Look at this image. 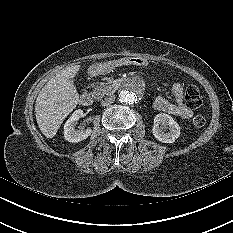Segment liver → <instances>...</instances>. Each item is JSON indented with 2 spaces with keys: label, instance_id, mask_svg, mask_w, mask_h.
I'll return each mask as SVG.
<instances>
[{
  "label": "liver",
  "instance_id": "6515ba94",
  "mask_svg": "<svg viewBox=\"0 0 233 233\" xmlns=\"http://www.w3.org/2000/svg\"><path fill=\"white\" fill-rule=\"evenodd\" d=\"M79 69L80 65L66 67L47 82L36 98V121L46 138L56 135L64 119L78 104L79 94L73 78Z\"/></svg>",
  "mask_w": 233,
  "mask_h": 233
}]
</instances>
